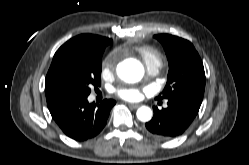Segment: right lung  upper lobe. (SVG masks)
I'll return each mask as SVG.
<instances>
[{"label": "right lung upper lobe", "instance_id": "cb5924a9", "mask_svg": "<svg viewBox=\"0 0 249 165\" xmlns=\"http://www.w3.org/2000/svg\"><path fill=\"white\" fill-rule=\"evenodd\" d=\"M111 42L112 40L110 38H106V37H102L98 35H92V34H82V35H79V36H76L70 39L64 45H62V47L72 45V44H82V45H89V46L105 49V47ZM50 72H51V69H49L48 74L46 76V80H45L46 97L53 95V94H58L50 83Z\"/></svg>", "mask_w": 249, "mask_h": 165}]
</instances>
